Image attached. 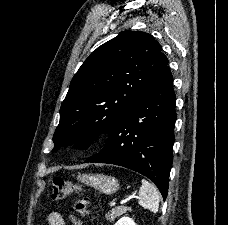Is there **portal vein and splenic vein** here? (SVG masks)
Returning a JSON list of instances; mask_svg holds the SVG:
<instances>
[{
	"label": "portal vein and splenic vein",
	"mask_w": 228,
	"mask_h": 225,
	"mask_svg": "<svg viewBox=\"0 0 228 225\" xmlns=\"http://www.w3.org/2000/svg\"><path fill=\"white\" fill-rule=\"evenodd\" d=\"M138 196L137 195H130L129 197H126L125 200H121L120 204L121 205H128V202H131V200H137ZM117 205V200H112V202L110 203L111 207H116Z\"/></svg>",
	"instance_id": "1"
}]
</instances>
